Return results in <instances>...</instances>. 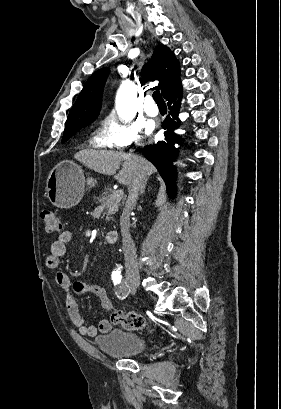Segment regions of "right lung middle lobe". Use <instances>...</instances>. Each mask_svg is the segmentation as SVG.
Wrapping results in <instances>:
<instances>
[{
  "label": "right lung middle lobe",
  "instance_id": "obj_1",
  "mask_svg": "<svg viewBox=\"0 0 281 409\" xmlns=\"http://www.w3.org/2000/svg\"><path fill=\"white\" fill-rule=\"evenodd\" d=\"M89 124L83 125V126H78V127H65V131L63 134L62 138V143L67 141L71 136H73L77 131H79L81 128L87 126Z\"/></svg>",
  "mask_w": 281,
  "mask_h": 409
}]
</instances>
